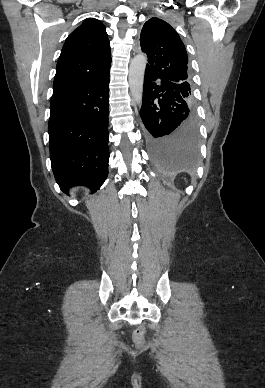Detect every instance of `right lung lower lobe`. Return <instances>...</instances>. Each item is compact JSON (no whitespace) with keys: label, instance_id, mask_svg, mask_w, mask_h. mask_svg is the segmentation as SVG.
I'll use <instances>...</instances> for the list:
<instances>
[{"label":"right lung lower lobe","instance_id":"98d812e1","mask_svg":"<svg viewBox=\"0 0 265 388\" xmlns=\"http://www.w3.org/2000/svg\"><path fill=\"white\" fill-rule=\"evenodd\" d=\"M109 76L53 93L48 126L50 159L60 189L94 192L108 175Z\"/></svg>","mask_w":265,"mask_h":388}]
</instances>
